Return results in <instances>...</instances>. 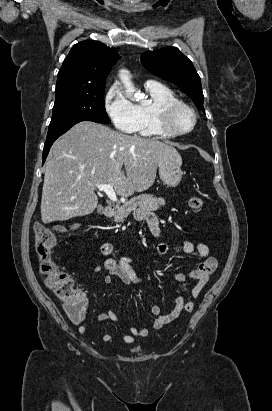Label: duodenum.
Wrapping results in <instances>:
<instances>
[{
  "label": "duodenum",
  "instance_id": "obj_1",
  "mask_svg": "<svg viewBox=\"0 0 272 411\" xmlns=\"http://www.w3.org/2000/svg\"><path fill=\"white\" fill-rule=\"evenodd\" d=\"M114 208L113 207H106L102 213H101V217L102 218H110L113 216L114 214Z\"/></svg>",
  "mask_w": 272,
  "mask_h": 411
}]
</instances>
